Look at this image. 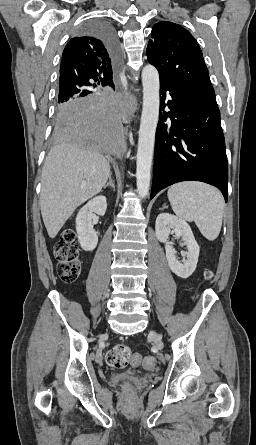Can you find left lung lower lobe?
Wrapping results in <instances>:
<instances>
[{"mask_svg": "<svg viewBox=\"0 0 256 445\" xmlns=\"http://www.w3.org/2000/svg\"><path fill=\"white\" fill-rule=\"evenodd\" d=\"M160 94L151 199L174 183L195 180L216 186L227 201L228 164L215 97L165 79Z\"/></svg>", "mask_w": 256, "mask_h": 445, "instance_id": "left-lung-lower-lobe-1", "label": "left lung lower lobe"}]
</instances>
